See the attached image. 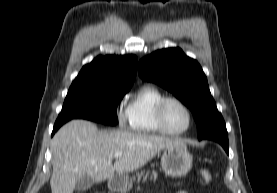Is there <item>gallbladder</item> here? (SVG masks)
Returning a JSON list of instances; mask_svg holds the SVG:
<instances>
[{
    "label": "gallbladder",
    "instance_id": "obj_1",
    "mask_svg": "<svg viewBox=\"0 0 277 193\" xmlns=\"http://www.w3.org/2000/svg\"><path fill=\"white\" fill-rule=\"evenodd\" d=\"M94 182L93 180L88 177V176H84L81 179H79L75 185V190L81 192V191H86L88 189H90L93 186Z\"/></svg>",
    "mask_w": 277,
    "mask_h": 193
}]
</instances>
